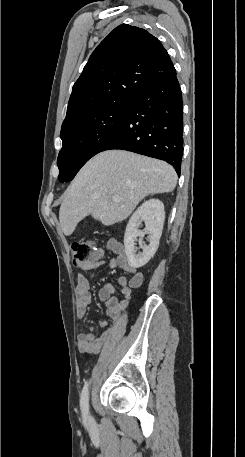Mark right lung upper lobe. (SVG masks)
<instances>
[{"label":"right lung upper lobe","instance_id":"1","mask_svg":"<svg viewBox=\"0 0 245 457\" xmlns=\"http://www.w3.org/2000/svg\"><path fill=\"white\" fill-rule=\"evenodd\" d=\"M175 73L156 37L122 24L91 54L72 88L64 122L117 100L133 101L146 86Z\"/></svg>","mask_w":245,"mask_h":457}]
</instances>
